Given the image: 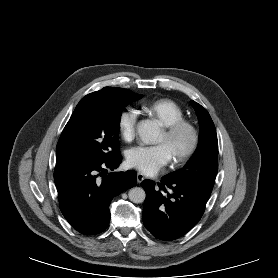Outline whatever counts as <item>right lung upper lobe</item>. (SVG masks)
<instances>
[{"label":"right lung upper lobe","mask_w":278,"mask_h":278,"mask_svg":"<svg viewBox=\"0 0 278 278\" xmlns=\"http://www.w3.org/2000/svg\"><path fill=\"white\" fill-rule=\"evenodd\" d=\"M132 91L128 89L118 88V87H105L100 91L93 92L91 94H99V95H122V94H131Z\"/></svg>","instance_id":"cb5924a9"}]
</instances>
